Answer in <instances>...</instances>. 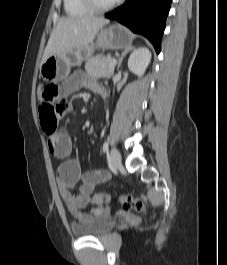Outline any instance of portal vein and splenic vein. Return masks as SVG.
<instances>
[{
	"instance_id": "1",
	"label": "portal vein and splenic vein",
	"mask_w": 227,
	"mask_h": 265,
	"mask_svg": "<svg viewBox=\"0 0 227 265\" xmlns=\"http://www.w3.org/2000/svg\"><path fill=\"white\" fill-rule=\"evenodd\" d=\"M116 63H117L116 59H113V60L111 61V64H112V65H115Z\"/></svg>"
}]
</instances>
